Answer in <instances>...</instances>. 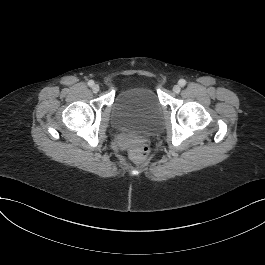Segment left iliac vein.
Here are the masks:
<instances>
[{
	"label": "left iliac vein",
	"mask_w": 265,
	"mask_h": 265,
	"mask_svg": "<svg viewBox=\"0 0 265 265\" xmlns=\"http://www.w3.org/2000/svg\"><path fill=\"white\" fill-rule=\"evenodd\" d=\"M180 90H181V87L179 85H175L173 87V92L176 93V94H178L180 92Z\"/></svg>",
	"instance_id": "4c4485c4"
}]
</instances>
